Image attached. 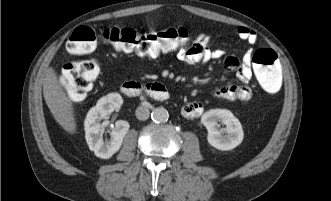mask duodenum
<instances>
[{"label":"duodenum","mask_w":331,"mask_h":201,"mask_svg":"<svg viewBox=\"0 0 331 201\" xmlns=\"http://www.w3.org/2000/svg\"><path fill=\"white\" fill-rule=\"evenodd\" d=\"M120 92L128 97H138L145 94L160 102L167 101L169 99V93L166 87L157 82L149 83L147 85L136 81L125 82L121 85Z\"/></svg>","instance_id":"obj_1"}]
</instances>
